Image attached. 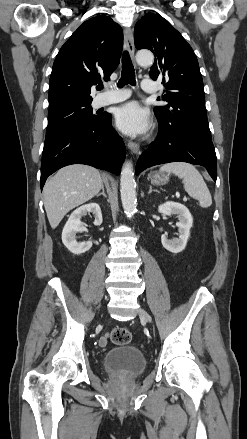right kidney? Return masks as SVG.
Listing matches in <instances>:
<instances>
[{
	"label": "right kidney",
	"instance_id": "right-kidney-1",
	"mask_svg": "<svg viewBox=\"0 0 247 439\" xmlns=\"http://www.w3.org/2000/svg\"><path fill=\"white\" fill-rule=\"evenodd\" d=\"M87 213H93L95 220L94 224L99 226L102 224V213L100 206L97 203L85 204L72 212L67 223L62 231V242L66 248L73 254H82L88 251L92 247V242H77V232H87V229L83 226L81 218Z\"/></svg>",
	"mask_w": 247,
	"mask_h": 439
}]
</instances>
